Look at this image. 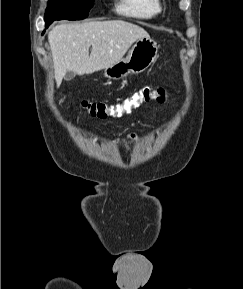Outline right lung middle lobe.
Returning a JSON list of instances; mask_svg holds the SVG:
<instances>
[{
	"label": "right lung middle lobe",
	"mask_w": 243,
	"mask_h": 289,
	"mask_svg": "<svg viewBox=\"0 0 243 289\" xmlns=\"http://www.w3.org/2000/svg\"><path fill=\"white\" fill-rule=\"evenodd\" d=\"M94 0H49L45 21L81 20L88 16Z\"/></svg>",
	"instance_id": "right-lung-middle-lobe-1"
}]
</instances>
